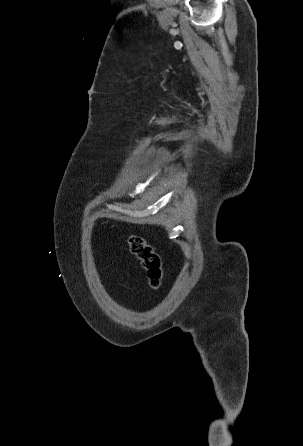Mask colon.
Wrapping results in <instances>:
<instances>
[{"instance_id": "obj_1", "label": "colon", "mask_w": 303, "mask_h": 446, "mask_svg": "<svg viewBox=\"0 0 303 446\" xmlns=\"http://www.w3.org/2000/svg\"><path fill=\"white\" fill-rule=\"evenodd\" d=\"M128 246L130 252L140 261L145 270L149 287L152 290H157L161 286L163 278L160 255L142 236L131 235L128 238Z\"/></svg>"}]
</instances>
